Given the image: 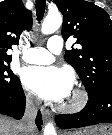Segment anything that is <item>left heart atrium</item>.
Here are the masks:
<instances>
[{"label":"left heart atrium","instance_id":"39dd6f15","mask_svg":"<svg viewBox=\"0 0 112 135\" xmlns=\"http://www.w3.org/2000/svg\"><path fill=\"white\" fill-rule=\"evenodd\" d=\"M23 84L40 98L64 101L72 91L73 77L55 66H30L22 72Z\"/></svg>","mask_w":112,"mask_h":135}]
</instances>
